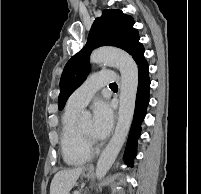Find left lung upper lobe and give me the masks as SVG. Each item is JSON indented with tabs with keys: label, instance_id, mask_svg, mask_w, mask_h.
<instances>
[{
	"label": "left lung upper lobe",
	"instance_id": "left-lung-upper-lobe-1",
	"mask_svg": "<svg viewBox=\"0 0 201 194\" xmlns=\"http://www.w3.org/2000/svg\"><path fill=\"white\" fill-rule=\"evenodd\" d=\"M134 20L117 9L104 10L96 18L85 47L65 65L60 79L59 110L64 108L68 97L83 83L89 70V55L94 48L115 46L130 55L139 43L138 31L133 28Z\"/></svg>",
	"mask_w": 201,
	"mask_h": 194
}]
</instances>
